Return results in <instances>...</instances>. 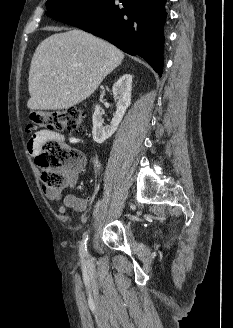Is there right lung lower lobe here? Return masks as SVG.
Here are the masks:
<instances>
[{
    "mask_svg": "<svg viewBox=\"0 0 233 328\" xmlns=\"http://www.w3.org/2000/svg\"><path fill=\"white\" fill-rule=\"evenodd\" d=\"M100 0L60 21L100 36L144 58L160 76L163 68L166 0Z\"/></svg>",
    "mask_w": 233,
    "mask_h": 328,
    "instance_id": "1",
    "label": "right lung lower lobe"
}]
</instances>
